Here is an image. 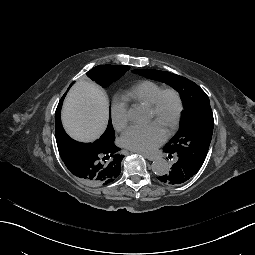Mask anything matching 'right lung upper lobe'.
<instances>
[{"label": "right lung upper lobe", "instance_id": "cb5924a9", "mask_svg": "<svg viewBox=\"0 0 255 255\" xmlns=\"http://www.w3.org/2000/svg\"><path fill=\"white\" fill-rule=\"evenodd\" d=\"M65 95L66 93L60 100L55 113L56 142L62 160L69 171L79 178L80 154L82 152H87L89 156L98 154L100 156V174L96 179L90 177L89 180L83 182L91 185H107L113 182L120 174L123 155L119 153L120 149L114 144L115 133L112 123L108 124L105 133L94 143H81L73 140L65 133L60 119L61 106ZM83 144L88 146L86 151L81 149Z\"/></svg>", "mask_w": 255, "mask_h": 255}]
</instances>
